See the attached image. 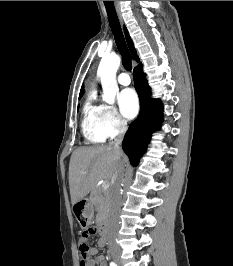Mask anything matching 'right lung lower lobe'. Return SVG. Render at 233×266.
<instances>
[{
    "label": "right lung lower lobe",
    "instance_id": "right-lung-lower-lobe-1",
    "mask_svg": "<svg viewBox=\"0 0 233 266\" xmlns=\"http://www.w3.org/2000/svg\"><path fill=\"white\" fill-rule=\"evenodd\" d=\"M142 67L140 64L133 71L134 86L140 98V114L130 124L122 142V148L133 166L138 165L151 140L152 132L160 128L163 117L160 100L150 98V87Z\"/></svg>",
    "mask_w": 233,
    "mask_h": 266
}]
</instances>
